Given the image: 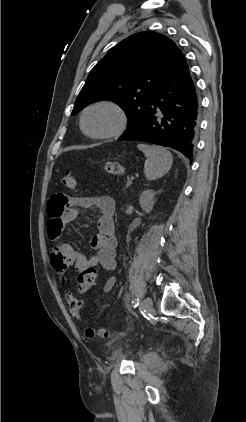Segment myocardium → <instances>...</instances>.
Masks as SVG:
<instances>
[{
	"label": "myocardium",
	"instance_id": "f54148a6",
	"mask_svg": "<svg viewBox=\"0 0 246 422\" xmlns=\"http://www.w3.org/2000/svg\"><path fill=\"white\" fill-rule=\"evenodd\" d=\"M98 107H107L113 110L117 116V122H116V125L111 130L107 132H103V133L94 134V133L89 132L87 128L85 127V117L90 110L94 108H98ZM127 124H128V117L125 110L122 108L121 105H119L118 103L112 100H99V101L89 104L83 109L80 115V120H79V125L82 132L87 137L91 139H97V140H104V139H111V138L118 137L125 131Z\"/></svg>",
	"mask_w": 246,
	"mask_h": 422
}]
</instances>
